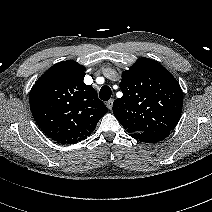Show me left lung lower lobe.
<instances>
[{"mask_svg":"<svg viewBox=\"0 0 212 212\" xmlns=\"http://www.w3.org/2000/svg\"><path fill=\"white\" fill-rule=\"evenodd\" d=\"M129 135L141 142L154 143L165 139L169 135V132L146 131L143 133H132Z\"/></svg>","mask_w":212,"mask_h":212,"instance_id":"1","label":"left lung lower lobe"}]
</instances>
